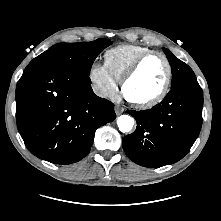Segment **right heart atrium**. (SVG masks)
Returning <instances> with one entry per match:
<instances>
[{
	"instance_id": "1",
	"label": "right heart atrium",
	"mask_w": 221,
	"mask_h": 221,
	"mask_svg": "<svg viewBox=\"0 0 221 221\" xmlns=\"http://www.w3.org/2000/svg\"><path fill=\"white\" fill-rule=\"evenodd\" d=\"M93 92L102 99H116L119 94L117 81L109 74L104 64L94 61L87 72Z\"/></svg>"
}]
</instances>
